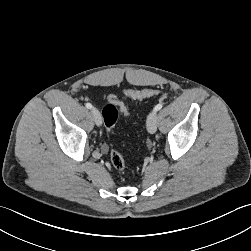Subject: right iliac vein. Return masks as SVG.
Listing matches in <instances>:
<instances>
[{
    "label": "right iliac vein",
    "mask_w": 251,
    "mask_h": 251,
    "mask_svg": "<svg viewBox=\"0 0 251 251\" xmlns=\"http://www.w3.org/2000/svg\"><path fill=\"white\" fill-rule=\"evenodd\" d=\"M92 117L97 126H101L102 118L100 112L96 108H92L91 110Z\"/></svg>",
    "instance_id": "1"
}]
</instances>
